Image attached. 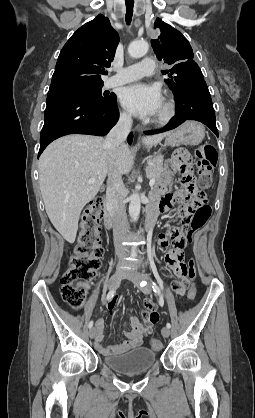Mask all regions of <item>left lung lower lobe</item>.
Returning a JSON list of instances; mask_svg holds the SVG:
<instances>
[{"label": "left lung lower lobe", "instance_id": "0a47b994", "mask_svg": "<svg viewBox=\"0 0 255 418\" xmlns=\"http://www.w3.org/2000/svg\"><path fill=\"white\" fill-rule=\"evenodd\" d=\"M175 116L162 129L147 131L152 135L176 128L186 120H196L208 126L218 137L215 111L204 78L195 79L180 87L175 93Z\"/></svg>", "mask_w": 255, "mask_h": 418}]
</instances>
